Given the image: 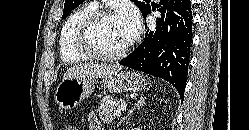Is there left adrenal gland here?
I'll list each match as a JSON object with an SVG mask.
<instances>
[{
    "mask_svg": "<svg viewBox=\"0 0 249 130\" xmlns=\"http://www.w3.org/2000/svg\"><path fill=\"white\" fill-rule=\"evenodd\" d=\"M144 104L145 100L143 98H140L137 102H135L129 113L126 116H124L122 120H120V122L117 124V127H119L124 120H126L130 115H132L136 108L139 109L140 107L144 106Z\"/></svg>",
    "mask_w": 249,
    "mask_h": 130,
    "instance_id": "a2214340",
    "label": "left adrenal gland"
}]
</instances>
